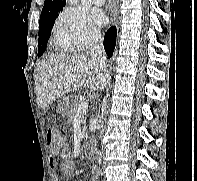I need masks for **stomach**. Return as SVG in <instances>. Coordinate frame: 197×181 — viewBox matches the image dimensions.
Listing matches in <instances>:
<instances>
[{
  "label": "stomach",
  "mask_w": 197,
  "mask_h": 181,
  "mask_svg": "<svg viewBox=\"0 0 197 181\" xmlns=\"http://www.w3.org/2000/svg\"><path fill=\"white\" fill-rule=\"evenodd\" d=\"M73 102L71 98L62 96L58 102L57 112L61 115H68Z\"/></svg>",
  "instance_id": "obj_1"
}]
</instances>
